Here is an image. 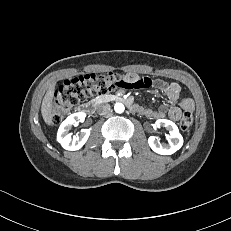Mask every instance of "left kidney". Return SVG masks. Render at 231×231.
Here are the masks:
<instances>
[{"instance_id": "5707ae66", "label": "left kidney", "mask_w": 231, "mask_h": 231, "mask_svg": "<svg viewBox=\"0 0 231 231\" xmlns=\"http://www.w3.org/2000/svg\"><path fill=\"white\" fill-rule=\"evenodd\" d=\"M155 126L165 128L169 131L170 136L167 145L160 143L155 136H150L148 144L154 152L161 155H171L182 147L183 137L174 122L167 119H159L156 121Z\"/></svg>"}]
</instances>
